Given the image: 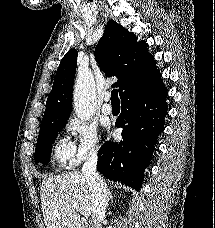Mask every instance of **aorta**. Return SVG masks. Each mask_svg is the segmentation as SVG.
<instances>
[{"mask_svg": "<svg viewBox=\"0 0 215 228\" xmlns=\"http://www.w3.org/2000/svg\"><path fill=\"white\" fill-rule=\"evenodd\" d=\"M92 84L93 82L91 80L89 82L88 78L78 76L73 94V102L75 112L82 122L91 120L96 112V92Z\"/></svg>", "mask_w": 215, "mask_h": 228, "instance_id": "762f6f07", "label": "aorta"}]
</instances>
